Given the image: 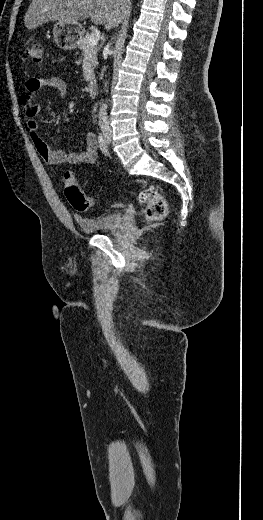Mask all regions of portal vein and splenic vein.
Segmentation results:
<instances>
[{"label": "portal vein and splenic vein", "mask_w": 263, "mask_h": 520, "mask_svg": "<svg viewBox=\"0 0 263 520\" xmlns=\"http://www.w3.org/2000/svg\"><path fill=\"white\" fill-rule=\"evenodd\" d=\"M100 39V31L98 29H95L92 31L90 38H89V44L94 46L97 45Z\"/></svg>", "instance_id": "1"}]
</instances>
